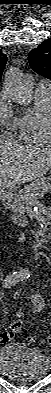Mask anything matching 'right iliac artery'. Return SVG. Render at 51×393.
Returning a JSON list of instances; mask_svg holds the SVG:
<instances>
[{
  "label": "right iliac artery",
  "mask_w": 51,
  "mask_h": 393,
  "mask_svg": "<svg viewBox=\"0 0 51 393\" xmlns=\"http://www.w3.org/2000/svg\"><path fill=\"white\" fill-rule=\"evenodd\" d=\"M29 275L30 274L27 270L13 272L12 274L6 276V278L3 280V287L9 288L16 283L27 279Z\"/></svg>",
  "instance_id": "right-iliac-artery-1"
}]
</instances>
